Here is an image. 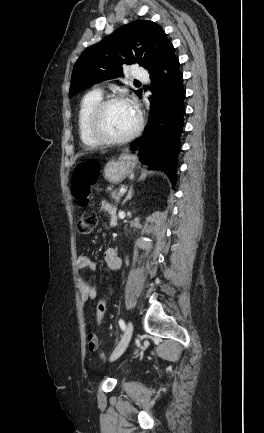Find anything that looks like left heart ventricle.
Here are the masks:
<instances>
[{
  "label": "left heart ventricle",
  "mask_w": 264,
  "mask_h": 433,
  "mask_svg": "<svg viewBox=\"0 0 264 433\" xmlns=\"http://www.w3.org/2000/svg\"><path fill=\"white\" fill-rule=\"evenodd\" d=\"M137 116L133 107L126 103L109 106L103 115L102 129L111 137H122L136 125Z\"/></svg>",
  "instance_id": "left-heart-ventricle-1"
}]
</instances>
